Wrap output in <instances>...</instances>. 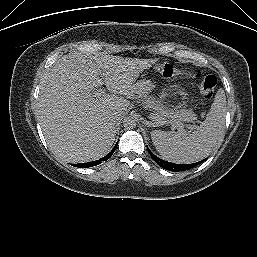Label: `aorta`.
<instances>
[{"instance_id":"obj_1","label":"aorta","mask_w":257,"mask_h":257,"mask_svg":"<svg viewBox=\"0 0 257 257\" xmlns=\"http://www.w3.org/2000/svg\"><path fill=\"white\" fill-rule=\"evenodd\" d=\"M123 125L126 129H133L137 125V119L133 116L125 117L123 120Z\"/></svg>"}]
</instances>
